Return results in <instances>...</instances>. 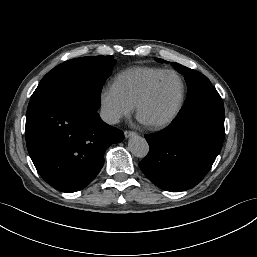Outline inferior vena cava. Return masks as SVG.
I'll return each instance as SVG.
<instances>
[{"instance_id":"1","label":"inferior vena cava","mask_w":257,"mask_h":257,"mask_svg":"<svg viewBox=\"0 0 257 257\" xmlns=\"http://www.w3.org/2000/svg\"><path fill=\"white\" fill-rule=\"evenodd\" d=\"M100 117L104 122L108 124H117L120 119V116L118 113L109 109H104V108L100 112Z\"/></svg>"}]
</instances>
